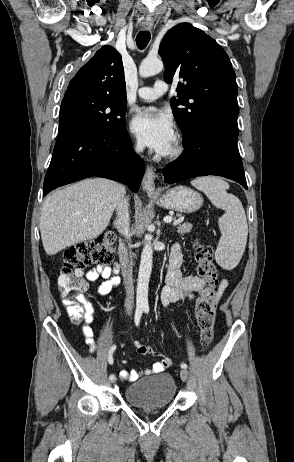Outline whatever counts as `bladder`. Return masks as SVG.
<instances>
[{
  "label": "bladder",
  "mask_w": 294,
  "mask_h": 462,
  "mask_svg": "<svg viewBox=\"0 0 294 462\" xmlns=\"http://www.w3.org/2000/svg\"><path fill=\"white\" fill-rule=\"evenodd\" d=\"M177 386L169 373H158L129 385L124 397L128 403L139 408H163L176 397Z\"/></svg>",
  "instance_id": "obj_1"
}]
</instances>
